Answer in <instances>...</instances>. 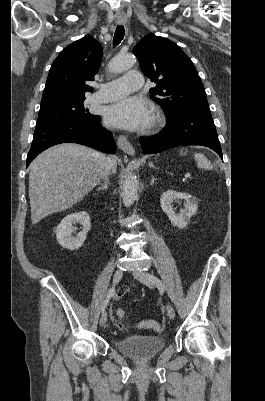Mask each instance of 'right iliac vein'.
Segmentation results:
<instances>
[{
  "label": "right iliac vein",
  "mask_w": 265,
  "mask_h": 401,
  "mask_svg": "<svg viewBox=\"0 0 265 401\" xmlns=\"http://www.w3.org/2000/svg\"><path fill=\"white\" fill-rule=\"evenodd\" d=\"M123 271L121 269H117L114 273L113 283L117 284L122 279ZM107 322V312L104 310L100 317V325L104 326Z\"/></svg>",
  "instance_id": "63e3f726"
}]
</instances>
